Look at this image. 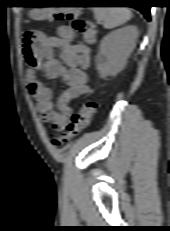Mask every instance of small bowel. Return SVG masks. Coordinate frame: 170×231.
<instances>
[{
	"label": "small bowel",
	"instance_id": "small-bowel-1",
	"mask_svg": "<svg viewBox=\"0 0 170 231\" xmlns=\"http://www.w3.org/2000/svg\"><path fill=\"white\" fill-rule=\"evenodd\" d=\"M74 37L72 27L60 25L56 36L29 31L24 38L28 91L36 101L41 119L58 131L67 127L73 112L70 104L90 91L86 73L90 65V50L83 44H75ZM55 50L59 51V59L55 57ZM38 72L47 79H59L66 84L67 89L59 96L56 105L51 88L37 79Z\"/></svg>",
	"mask_w": 170,
	"mask_h": 231
}]
</instances>
